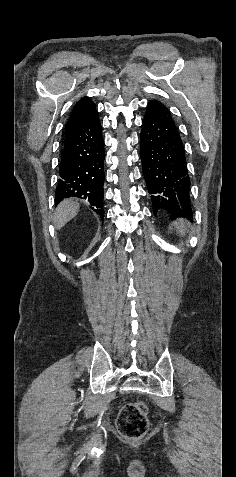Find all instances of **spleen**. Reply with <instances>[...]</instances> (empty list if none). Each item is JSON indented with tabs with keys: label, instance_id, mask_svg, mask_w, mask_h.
Listing matches in <instances>:
<instances>
[{
	"label": "spleen",
	"instance_id": "obj_1",
	"mask_svg": "<svg viewBox=\"0 0 236 477\" xmlns=\"http://www.w3.org/2000/svg\"><path fill=\"white\" fill-rule=\"evenodd\" d=\"M178 227H180V232H181V233H184V231H183V230H184V229H183V228H184V225H183V224H180V225L178 224Z\"/></svg>",
	"mask_w": 236,
	"mask_h": 477
}]
</instances>
